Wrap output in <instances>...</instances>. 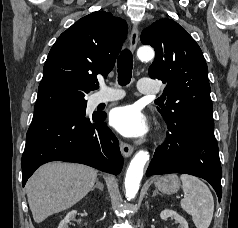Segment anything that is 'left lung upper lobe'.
Here are the masks:
<instances>
[{"instance_id":"1","label":"left lung upper lobe","mask_w":238,"mask_h":228,"mask_svg":"<svg viewBox=\"0 0 238 228\" xmlns=\"http://www.w3.org/2000/svg\"><path fill=\"white\" fill-rule=\"evenodd\" d=\"M141 42L156 52L149 76L166 84V106L157 108L165 121L183 119L214 125L207 64L188 32L174 20L164 18L142 31Z\"/></svg>"}]
</instances>
